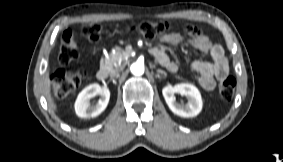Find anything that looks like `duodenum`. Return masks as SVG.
I'll use <instances>...</instances> for the list:
<instances>
[{
  "label": "duodenum",
  "mask_w": 283,
  "mask_h": 162,
  "mask_svg": "<svg viewBox=\"0 0 283 162\" xmlns=\"http://www.w3.org/2000/svg\"><path fill=\"white\" fill-rule=\"evenodd\" d=\"M96 76L98 80H101V81L105 80L108 77L107 69L106 68L99 69Z\"/></svg>",
  "instance_id": "duodenum-1"
}]
</instances>
